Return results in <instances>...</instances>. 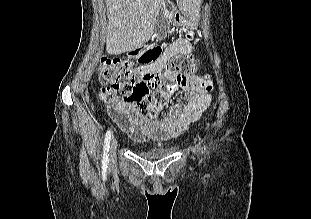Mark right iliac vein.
Returning <instances> with one entry per match:
<instances>
[{"label":"right iliac vein","instance_id":"obj_1","mask_svg":"<svg viewBox=\"0 0 311 219\" xmlns=\"http://www.w3.org/2000/svg\"><path fill=\"white\" fill-rule=\"evenodd\" d=\"M116 149H117V140L116 138H112L109 146V161L110 163H114L116 160Z\"/></svg>","mask_w":311,"mask_h":219}]
</instances>
